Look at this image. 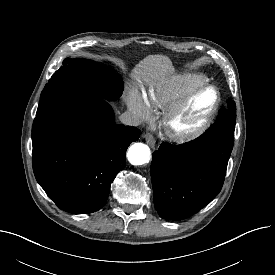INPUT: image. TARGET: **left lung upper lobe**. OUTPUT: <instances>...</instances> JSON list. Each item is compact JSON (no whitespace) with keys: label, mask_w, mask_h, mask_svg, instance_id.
<instances>
[{"label":"left lung upper lobe","mask_w":275,"mask_h":275,"mask_svg":"<svg viewBox=\"0 0 275 275\" xmlns=\"http://www.w3.org/2000/svg\"><path fill=\"white\" fill-rule=\"evenodd\" d=\"M226 116L225 119L221 120L223 124L230 125L231 127H235L236 122V105L234 101L228 100V104L225 107Z\"/></svg>","instance_id":"5c2ea615"}]
</instances>
